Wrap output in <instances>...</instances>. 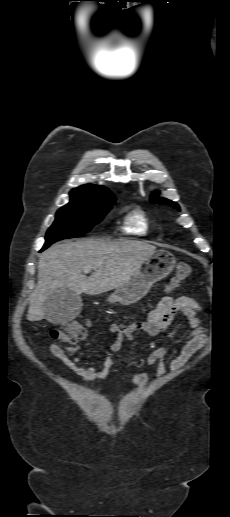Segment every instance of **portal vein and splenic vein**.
I'll return each instance as SVG.
<instances>
[{"label": "portal vein and splenic vein", "instance_id": "portal-vein-and-splenic-vein-1", "mask_svg": "<svg viewBox=\"0 0 230 517\" xmlns=\"http://www.w3.org/2000/svg\"><path fill=\"white\" fill-rule=\"evenodd\" d=\"M91 270H92V267H89V266H87L83 269L84 272H90Z\"/></svg>", "mask_w": 230, "mask_h": 517}]
</instances>
